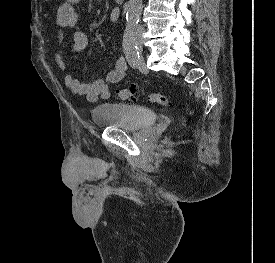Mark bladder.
<instances>
[{"label": "bladder", "mask_w": 275, "mask_h": 263, "mask_svg": "<svg viewBox=\"0 0 275 263\" xmlns=\"http://www.w3.org/2000/svg\"><path fill=\"white\" fill-rule=\"evenodd\" d=\"M92 118L98 127H119L136 130L157 121L155 111L145 106L102 104L92 109Z\"/></svg>", "instance_id": "31cf9c89"}]
</instances>
